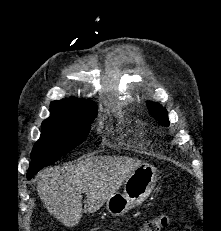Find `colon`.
Returning a JSON list of instances; mask_svg holds the SVG:
<instances>
[{
    "instance_id": "obj_1",
    "label": "colon",
    "mask_w": 221,
    "mask_h": 231,
    "mask_svg": "<svg viewBox=\"0 0 221 231\" xmlns=\"http://www.w3.org/2000/svg\"><path fill=\"white\" fill-rule=\"evenodd\" d=\"M171 223V217L168 214H160L147 220L138 231H161Z\"/></svg>"
}]
</instances>
